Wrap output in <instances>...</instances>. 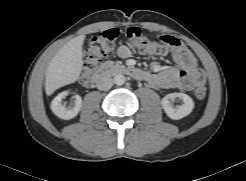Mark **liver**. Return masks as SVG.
<instances>
[{
    "mask_svg": "<svg viewBox=\"0 0 246 181\" xmlns=\"http://www.w3.org/2000/svg\"><path fill=\"white\" fill-rule=\"evenodd\" d=\"M84 39L83 35L71 39L51 60L45 77V92L48 96L79 78L83 66Z\"/></svg>",
    "mask_w": 246,
    "mask_h": 181,
    "instance_id": "1",
    "label": "liver"
}]
</instances>
